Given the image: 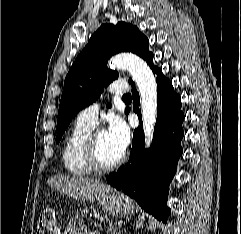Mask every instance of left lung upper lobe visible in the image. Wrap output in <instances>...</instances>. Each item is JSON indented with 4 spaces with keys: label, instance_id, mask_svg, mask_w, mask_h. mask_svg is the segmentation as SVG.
Returning a JSON list of instances; mask_svg holds the SVG:
<instances>
[{
    "label": "left lung upper lobe",
    "instance_id": "5c2ea615",
    "mask_svg": "<svg viewBox=\"0 0 241 234\" xmlns=\"http://www.w3.org/2000/svg\"><path fill=\"white\" fill-rule=\"evenodd\" d=\"M148 45L146 36L136 26L125 22L103 24L92 35L64 81L57 118V143L77 113L96 101L104 87L118 78V72L107 68L108 59L119 52H132L146 60L152 54Z\"/></svg>",
    "mask_w": 241,
    "mask_h": 234
}]
</instances>
